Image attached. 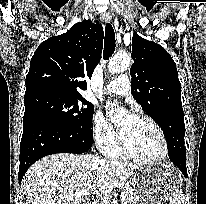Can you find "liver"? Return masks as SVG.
<instances>
[{
  "label": "liver",
  "mask_w": 206,
  "mask_h": 204,
  "mask_svg": "<svg viewBox=\"0 0 206 204\" xmlns=\"http://www.w3.org/2000/svg\"><path fill=\"white\" fill-rule=\"evenodd\" d=\"M139 167L138 164L106 161L89 154L46 156L28 169L21 182L23 204H87L83 203V197L110 194ZM84 190L87 195H75Z\"/></svg>",
  "instance_id": "obj_1"
}]
</instances>
